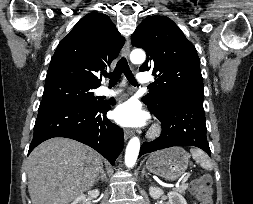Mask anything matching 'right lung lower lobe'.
Masks as SVG:
<instances>
[{
    "mask_svg": "<svg viewBox=\"0 0 253 204\" xmlns=\"http://www.w3.org/2000/svg\"><path fill=\"white\" fill-rule=\"evenodd\" d=\"M109 103L94 106L73 103L40 105L28 154L41 142L66 137L82 142L103 155L112 165L123 149V130L106 118Z\"/></svg>",
    "mask_w": 253,
    "mask_h": 204,
    "instance_id": "1",
    "label": "right lung lower lobe"
}]
</instances>
